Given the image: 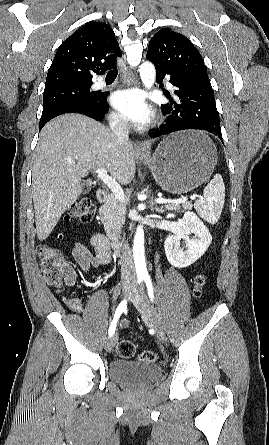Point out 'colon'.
Masks as SVG:
<instances>
[{
    "instance_id": "5ec220e1",
    "label": "colon",
    "mask_w": 269,
    "mask_h": 445,
    "mask_svg": "<svg viewBox=\"0 0 269 445\" xmlns=\"http://www.w3.org/2000/svg\"><path fill=\"white\" fill-rule=\"evenodd\" d=\"M91 201L83 198L75 202L69 210L68 218L77 219L81 223H89L92 220ZM37 256L41 264L46 282L53 287H61L64 283L71 284L73 281L68 277L66 264L62 255L55 248L48 245H40L37 248ZM206 284L204 274L198 273L192 280L193 295L199 298ZM116 352L119 357L130 359L134 357L136 348L133 342L122 340L118 343ZM138 359L142 362L152 363L157 360V354L154 351L142 352Z\"/></svg>"
}]
</instances>
